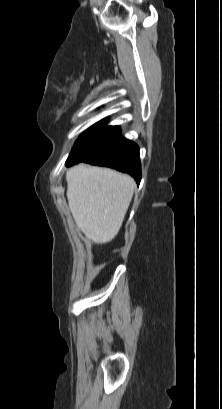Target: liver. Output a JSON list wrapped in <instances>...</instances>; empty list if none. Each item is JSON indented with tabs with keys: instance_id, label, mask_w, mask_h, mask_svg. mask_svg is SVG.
<instances>
[{
	"instance_id": "liver-1",
	"label": "liver",
	"mask_w": 222,
	"mask_h": 409,
	"mask_svg": "<svg viewBox=\"0 0 222 409\" xmlns=\"http://www.w3.org/2000/svg\"><path fill=\"white\" fill-rule=\"evenodd\" d=\"M67 199L77 228L97 244L118 234L136 183L108 168L79 164L66 173Z\"/></svg>"
}]
</instances>
